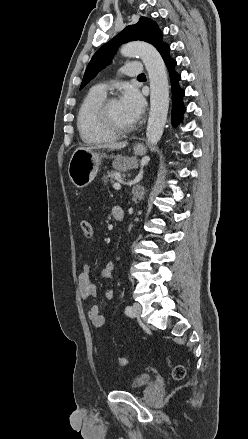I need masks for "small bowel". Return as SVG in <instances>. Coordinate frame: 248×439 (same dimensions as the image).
Instances as JSON below:
<instances>
[{"label": "small bowel", "instance_id": "1", "mask_svg": "<svg viewBox=\"0 0 248 439\" xmlns=\"http://www.w3.org/2000/svg\"><path fill=\"white\" fill-rule=\"evenodd\" d=\"M114 270V263L109 262L103 268L101 275L106 282L105 296L107 299L114 298V291L110 287L112 272ZM78 285L81 297L84 300H91L97 296V288L91 279V269L89 265H84L80 274L78 275ZM88 317L91 323L96 328H102L106 324V318L100 313L97 305H91L88 311Z\"/></svg>", "mask_w": 248, "mask_h": 439}]
</instances>
